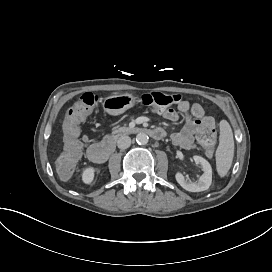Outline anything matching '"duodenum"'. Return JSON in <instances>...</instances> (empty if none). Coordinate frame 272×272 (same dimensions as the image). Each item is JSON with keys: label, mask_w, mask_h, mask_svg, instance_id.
Masks as SVG:
<instances>
[{"label": "duodenum", "mask_w": 272, "mask_h": 272, "mask_svg": "<svg viewBox=\"0 0 272 272\" xmlns=\"http://www.w3.org/2000/svg\"><path fill=\"white\" fill-rule=\"evenodd\" d=\"M143 131L154 139H161L164 136V131L159 128L143 129ZM114 148V139L112 137H108L99 143H95L89 146L87 149V156L92 162L103 163L113 153Z\"/></svg>", "instance_id": "obj_1"}]
</instances>
